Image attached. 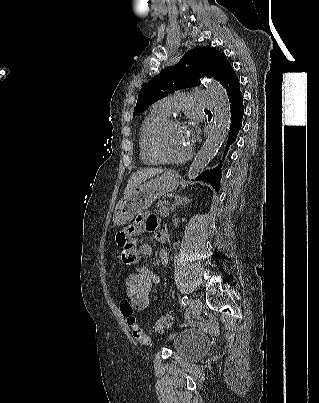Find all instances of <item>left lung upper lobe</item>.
<instances>
[{"label": "left lung upper lobe", "instance_id": "left-lung-upper-lobe-1", "mask_svg": "<svg viewBox=\"0 0 319 403\" xmlns=\"http://www.w3.org/2000/svg\"><path fill=\"white\" fill-rule=\"evenodd\" d=\"M228 66L226 56L213 48L189 50L175 66L166 67L141 88L133 117L168 93L197 86L200 77L208 75L220 81Z\"/></svg>", "mask_w": 319, "mask_h": 403}]
</instances>
